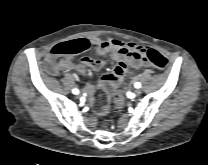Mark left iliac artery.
I'll use <instances>...</instances> for the list:
<instances>
[{"instance_id": "obj_1", "label": "left iliac artery", "mask_w": 208, "mask_h": 165, "mask_svg": "<svg viewBox=\"0 0 208 165\" xmlns=\"http://www.w3.org/2000/svg\"><path fill=\"white\" fill-rule=\"evenodd\" d=\"M136 88H140L141 87V84L139 82H136L135 85H134Z\"/></svg>"}]
</instances>
